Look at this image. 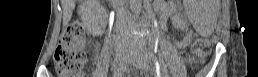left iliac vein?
Wrapping results in <instances>:
<instances>
[{
	"instance_id": "left-iliac-vein-1",
	"label": "left iliac vein",
	"mask_w": 258,
	"mask_h": 77,
	"mask_svg": "<svg viewBox=\"0 0 258 77\" xmlns=\"http://www.w3.org/2000/svg\"><path fill=\"white\" fill-rule=\"evenodd\" d=\"M139 68H142L146 71L151 70L150 61L147 57H145L143 54H138L135 56V58L132 60Z\"/></svg>"
}]
</instances>
